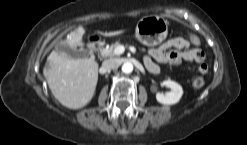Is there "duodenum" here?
I'll return each instance as SVG.
<instances>
[{"label": "duodenum", "instance_id": "duodenum-1", "mask_svg": "<svg viewBox=\"0 0 247 145\" xmlns=\"http://www.w3.org/2000/svg\"><path fill=\"white\" fill-rule=\"evenodd\" d=\"M99 39L98 38H92L91 40H90V42H89V50L90 51H95L96 49H97V47H98V44H99Z\"/></svg>", "mask_w": 247, "mask_h": 145}]
</instances>
